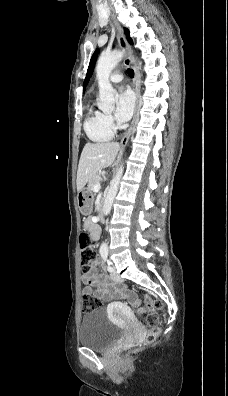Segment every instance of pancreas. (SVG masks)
<instances>
[{"label":"pancreas","mask_w":228,"mask_h":396,"mask_svg":"<svg viewBox=\"0 0 228 396\" xmlns=\"http://www.w3.org/2000/svg\"><path fill=\"white\" fill-rule=\"evenodd\" d=\"M101 180H102L101 176H100L99 174H96L95 176H93V177L89 180V182H88V188H89L90 190H93L94 186H95L96 184H99Z\"/></svg>","instance_id":"1"}]
</instances>
